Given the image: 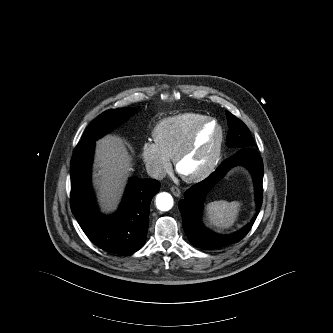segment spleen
I'll return each mask as SVG.
<instances>
[{
  "label": "spleen",
  "instance_id": "spleen-1",
  "mask_svg": "<svg viewBox=\"0 0 333 333\" xmlns=\"http://www.w3.org/2000/svg\"><path fill=\"white\" fill-rule=\"evenodd\" d=\"M241 203L239 201H214L206 205L207 218L211 225L218 229H228L238 218Z\"/></svg>",
  "mask_w": 333,
  "mask_h": 333
}]
</instances>
